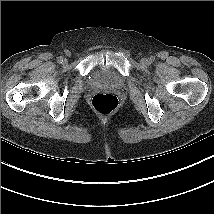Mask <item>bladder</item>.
<instances>
[{
    "mask_svg": "<svg viewBox=\"0 0 214 214\" xmlns=\"http://www.w3.org/2000/svg\"><path fill=\"white\" fill-rule=\"evenodd\" d=\"M88 82L93 86L104 83L118 87L122 84V79L109 69H99L89 76Z\"/></svg>",
    "mask_w": 214,
    "mask_h": 214,
    "instance_id": "31cf9c89",
    "label": "bladder"
}]
</instances>
